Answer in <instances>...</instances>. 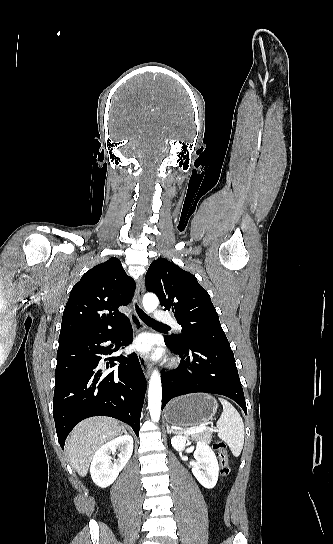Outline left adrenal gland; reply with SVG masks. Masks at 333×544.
<instances>
[{"label":"left adrenal gland","mask_w":333,"mask_h":544,"mask_svg":"<svg viewBox=\"0 0 333 544\" xmlns=\"http://www.w3.org/2000/svg\"><path fill=\"white\" fill-rule=\"evenodd\" d=\"M166 427H167V433H169V434H171V433H177L176 431H174L173 429H171V428L169 427L168 424H166Z\"/></svg>","instance_id":"left-adrenal-gland-1"}]
</instances>
